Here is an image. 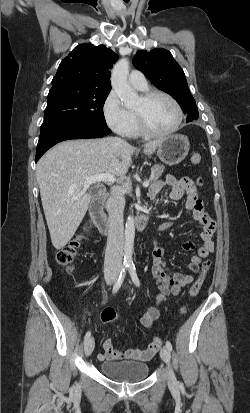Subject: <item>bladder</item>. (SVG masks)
<instances>
[{
    "label": "bladder",
    "mask_w": 250,
    "mask_h": 413,
    "mask_svg": "<svg viewBox=\"0 0 250 413\" xmlns=\"http://www.w3.org/2000/svg\"><path fill=\"white\" fill-rule=\"evenodd\" d=\"M99 368L105 376L117 382H138L149 374V365L136 361H104Z\"/></svg>",
    "instance_id": "31cf9c89"
}]
</instances>
